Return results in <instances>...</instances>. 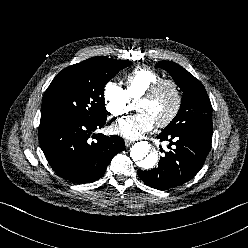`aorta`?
Here are the masks:
<instances>
[{"label": "aorta", "instance_id": "obj_1", "mask_svg": "<svg viewBox=\"0 0 248 248\" xmlns=\"http://www.w3.org/2000/svg\"><path fill=\"white\" fill-rule=\"evenodd\" d=\"M130 157L137 162L138 166L144 169H151L158 162L157 151H152L151 145L147 141L135 143L131 148Z\"/></svg>", "mask_w": 248, "mask_h": 248}]
</instances>
